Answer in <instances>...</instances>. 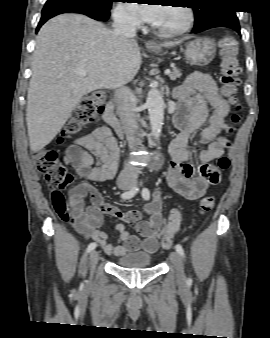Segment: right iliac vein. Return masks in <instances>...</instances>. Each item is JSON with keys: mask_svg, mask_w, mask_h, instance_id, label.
Instances as JSON below:
<instances>
[{"mask_svg": "<svg viewBox=\"0 0 270 338\" xmlns=\"http://www.w3.org/2000/svg\"><path fill=\"white\" fill-rule=\"evenodd\" d=\"M120 188L122 189V190H128L129 188H130V185H128V184H122V185H120ZM98 252L97 251H92L91 253H90V278L92 277V275H93V272H94V269H95V267H96V264H97V262H98Z\"/></svg>", "mask_w": 270, "mask_h": 338, "instance_id": "1", "label": "right iliac vein"}]
</instances>
